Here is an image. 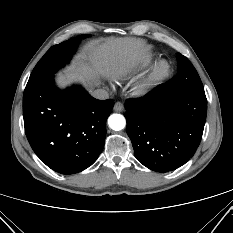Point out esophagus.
Masks as SVG:
<instances>
[{"mask_svg": "<svg viewBox=\"0 0 233 233\" xmlns=\"http://www.w3.org/2000/svg\"><path fill=\"white\" fill-rule=\"evenodd\" d=\"M124 110V104L122 102H116L114 105V111L122 112Z\"/></svg>", "mask_w": 233, "mask_h": 233, "instance_id": "34e87169", "label": "esophagus"}]
</instances>
